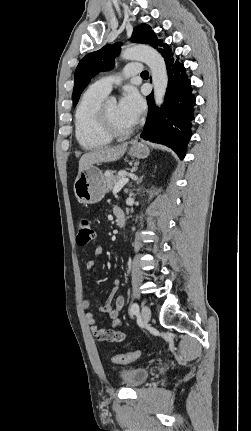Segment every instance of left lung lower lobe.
Here are the masks:
<instances>
[{
	"mask_svg": "<svg viewBox=\"0 0 251 431\" xmlns=\"http://www.w3.org/2000/svg\"><path fill=\"white\" fill-rule=\"evenodd\" d=\"M153 47L165 60L168 87L161 108L154 105L152 94L147 96L148 116L140 137L170 147L183 159L191 138L195 97L183 64L175 60L168 44L157 40Z\"/></svg>",
	"mask_w": 251,
	"mask_h": 431,
	"instance_id": "obj_1",
	"label": "left lung lower lobe"
}]
</instances>
